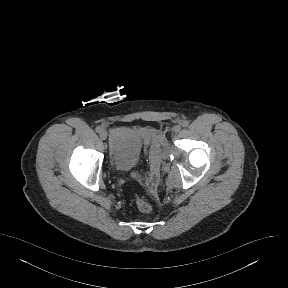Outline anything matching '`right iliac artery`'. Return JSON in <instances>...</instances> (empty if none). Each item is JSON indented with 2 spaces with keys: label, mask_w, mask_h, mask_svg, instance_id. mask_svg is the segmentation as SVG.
<instances>
[{
  "label": "right iliac artery",
  "mask_w": 288,
  "mask_h": 288,
  "mask_svg": "<svg viewBox=\"0 0 288 288\" xmlns=\"http://www.w3.org/2000/svg\"><path fill=\"white\" fill-rule=\"evenodd\" d=\"M95 130H96L97 133H100V132L102 131V127L97 126V127L95 128Z\"/></svg>",
  "instance_id": "1"
}]
</instances>
